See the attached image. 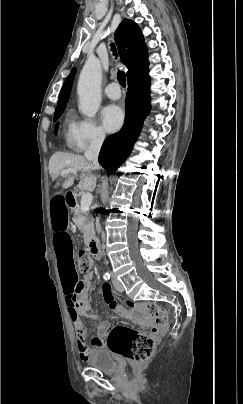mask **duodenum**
<instances>
[{
  "instance_id": "1",
  "label": "duodenum",
  "mask_w": 243,
  "mask_h": 404,
  "mask_svg": "<svg viewBox=\"0 0 243 404\" xmlns=\"http://www.w3.org/2000/svg\"><path fill=\"white\" fill-rule=\"evenodd\" d=\"M66 199L68 206L72 210H76L78 208L77 196L72 191H68L66 193ZM88 250L95 259H100L101 253L96 239H90L88 241Z\"/></svg>"
}]
</instances>
